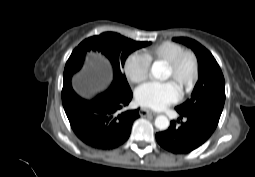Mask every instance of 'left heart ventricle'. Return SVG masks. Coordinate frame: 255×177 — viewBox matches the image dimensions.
Listing matches in <instances>:
<instances>
[{"instance_id":"obj_1","label":"left heart ventricle","mask_w":255,"mask_h":177,"mask_svg":"<svg viewBox=\"0 0 255 177\" xmlns=\"http://www.w3.org/2000/svg\"><path fill=\"white\" fill-rule=\"evenodd\" d=\"M192 73V62L189 58L185 59L180 69L173 73L170 69L165 67L164 69V79L171 80L175 86L180 89L185 85Z\"/></svg>"}]
</instances>
